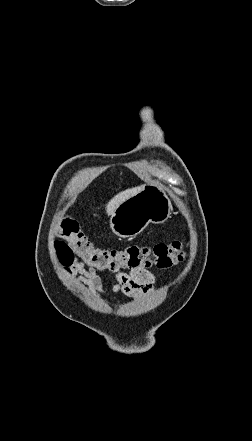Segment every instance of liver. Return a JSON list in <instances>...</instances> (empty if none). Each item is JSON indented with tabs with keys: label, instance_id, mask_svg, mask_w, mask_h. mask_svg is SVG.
Listing matches in <instances>:
<instances>
[{
	"label": "liver",
	"instance_id": "1",
	"mask_svg": "<svg viewBox=\"0 0 252 441\" xmlns=\"http://www.w3.org/2000/svg\"><path fill=\"white\" fill-rule=\"evenodd\" d=\"M141 188L142 186L130 188L115 195L106 205L107 214L111 215L122 202L135 195Z\"/></svg>",
	"mask_w": 252,
	"mask_h": 441
}]
</instances>
